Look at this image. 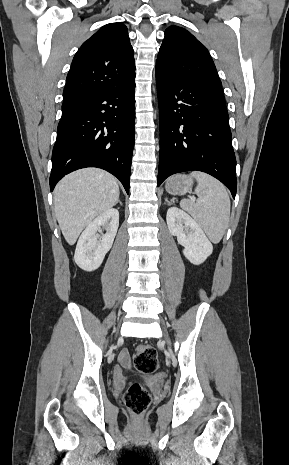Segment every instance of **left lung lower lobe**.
<instances>
[{"label":"left lung lower lobe","mask_w":289,"mask_h":465,"mask_svg":"<svg viewBox=\"0 0 289 465\" xmlns=\"http://www.w3.org/2000/svg\"><path fill=\"white\" fill-rule=\"evenodd\" d=\"M160 113L158 186L170 175L206 172L236 195V158L221 89L156 74Z\"/></svg>","instance_id":"1"}]
</instances>
